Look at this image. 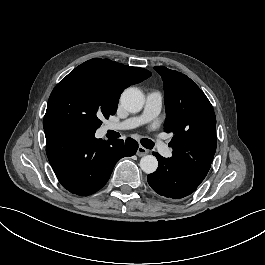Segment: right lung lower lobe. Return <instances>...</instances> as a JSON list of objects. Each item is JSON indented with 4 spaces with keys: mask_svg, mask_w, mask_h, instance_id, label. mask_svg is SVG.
Returning a JSON list of instances; mask_svg holds the SVG:
<instances>
[{
    "mask_svg": "<svg viewBox=\"0 0 265 265\" xmlns=\"http://www.w3.org/2000/svg\"><path fill=\"white\" fill-rule=\"evenodd\" d=\"M44 132L46 153L57 179L65 189L80 196L101 189L116 162L138 149L131 138L106 142L95 138V132L61 122H45Z\"/></svg>",
    "mask_w": 265,
    "mask_h": 265,
    "instance_id": "obj_1",
    "label": "right lung lower lobe"
}]
</instances>
